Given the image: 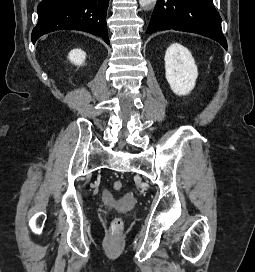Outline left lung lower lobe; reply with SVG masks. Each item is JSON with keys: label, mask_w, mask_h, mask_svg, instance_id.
<instances>
[{"label": "left lung lower lobe", "mask_w": 255, "mask_h": 272, "mask_svg": "<svg viewBox=\"0 0 255 272\" xmlns=\"http://www.w3.org/2000/svg\"><path fill=\"white\" fill-rule=\"evenodd\" d=\"M167 29L197 33L227 49L221 17L212 0H157L146 33Z\"/></svg>", "instance_id": "obj_1"}]
</instances>
